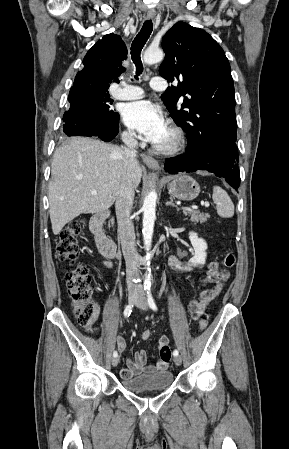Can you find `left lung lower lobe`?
<instances>
[{
    "label": "left lung lower lobe",
    "mask_w": 289,
    "mask_h": 449,
    "mask_svg": "<svg viewBox=\"0 0 289 449\" xmlns=\"http://www.w3.org/2000/svg\"><path fill=\"white\" fill-rule=\"evenodd\" d=\"M236 140L229 133L214 131L200 140H188L185 153L165 160V171L170 174L207 170L225 178L235 190L240 185Z\"/></svg>",
    "instance_id": "obj_1"
}]
</instances>
